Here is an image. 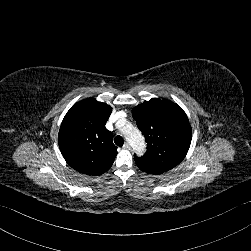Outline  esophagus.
Returning a JSON list of instances; mask_svg holds the SVG:
<instances>
[{
  "instance_id": "1",
  "label": "esophagus",
  "mask_w": 251,
  "mask_h": 251,
  "mask_svg": "<svg viewBox=\"0 0 251 251\" xmlns=\"http://www.w3.org/2000/svg\"><path fill=\"white\" fill-rule=\"evenodd\" d=\"M123 148L124 149H131V146L129 145L128 142H125L124 145H123Z\"/></svg>"
}]
</instances>
